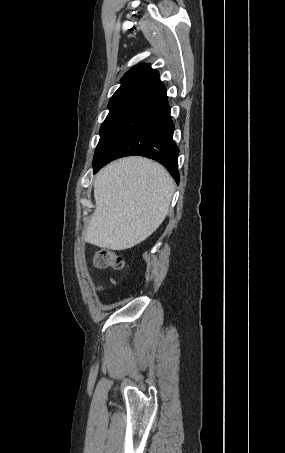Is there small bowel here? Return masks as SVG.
Masks as SVG:
<instances>
[{
  "label": "small bowel",
  "mask_w": 285,
  "mask_h": 453,
  "mask_svg": "<svg viewBox=\"0 0 285 453\" xmlns=\"http://www.w3.org/2000/svg\"><path fill=\"white\" fill-rule=\"evenodd\" d=\"M97 290H99V291H103V290H104V286H102V285H99V286L97 287Z\"/></svg>",
  "instance_id": "1"
}]
</instances>
